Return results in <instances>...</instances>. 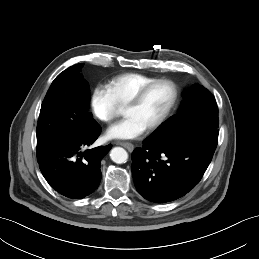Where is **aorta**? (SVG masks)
<instances>
[{
  "label": "aorta",
  "mask_w": 259,
  "mask_h": 259,
  "mask_svg": "<svg viewBox=\"0 0 259 259\" xmlns=\"http://www.w3.org/2000/svg\"><path fill=\"white\" fill-rule=\"evenodd\" d=\"M110 158L117 164L125 163L128 159V153L124 148L115 147L110 152Z\"/></svg>",
  "instance_id": "1"
}]
</instances>
